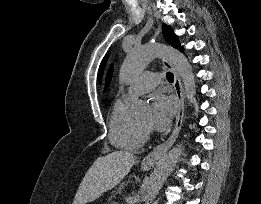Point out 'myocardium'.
<instances>
[{
    "label": "myocardium",
    "instance_id": "f54148a6",
    "mask_svg": "<svg viewBox=\"0 0 261 204\" xmlns=\"http://www.w3.org/2000/svg\"><path fill=\"white\" fill-rule=\"evenodd\" d=\"M139 124L140 126L142 127V129L145 131V132H149V125L147 124H144L142 122L139 121Z\"/></svg>",
    "mask_w": 261,
    "mask_h": 204
}]
</instances>
